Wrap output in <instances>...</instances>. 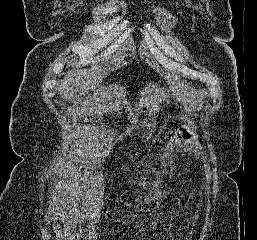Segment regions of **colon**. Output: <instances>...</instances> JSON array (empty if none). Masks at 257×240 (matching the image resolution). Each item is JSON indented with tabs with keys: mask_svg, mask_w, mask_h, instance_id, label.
Segmentation results:
<instances>
[{
	"mask_svg": "<svg viewBox=\"0 0 257 240\" xmlns=\"http://www.w3.org/2000/svg\"><path fill=\"white\" fill-rule=\"evenodd\" d=\"M196 134L197 129L194 124H185L180 128L179 135L171 141L166 150L162 153L156 176L153 181H151L145 196L141 199L134 214V220H139L144 215L147 208L152 205L157 198L164 180L172 170L173 159L180 143L194 138Z\"/></svg>",
	"mask_w": 257,
	"mask_h": 240,
	"instance_id": "obj_1",
	"label": "colon"
}]
</instances>
